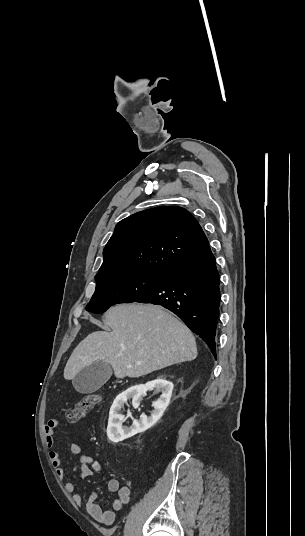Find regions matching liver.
Segmentation results:
<instances>
[{"label":"liver","mask_w":305,"mask_h":536,"mask_svg":"<svg viewBox=\"0 0 305 536\" xmlns=\"http://www.w3.org/2000/svg\"><path fill=\"white\" fill-rule=\"evenodd\" d=\"M103 322L112 332H93L76 346L64 368L65 380L94 362L110 364L115 378H140L197 358L190 330L161 306L118 304Z\"/></svg>","instance_id":"obj_1"}]
</instances>
